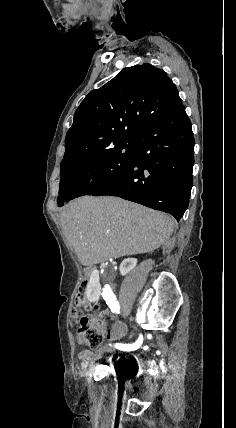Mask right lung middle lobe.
I'll return each instance as SVG.
<instances>
[{
    "label": "right lung middle lobe",
    "mask_w": 236,
    "mask_h": 428,
    "mask_svg": "<svg viewBox=\"0 0 236 428\" xmlns=\"http://www.w3.org/2000/svg\"><path fill=\"white\" fill-rule=\"evenodd\" d=\"M134 157L135 140H126L61 169L58 206L104 188L131 165Z\"/></svg>",
    "instance_id": "1"
}]
</instances>
